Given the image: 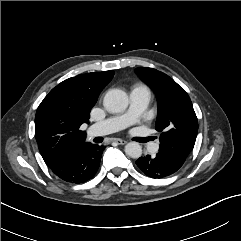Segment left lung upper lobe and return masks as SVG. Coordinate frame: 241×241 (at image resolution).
Returning a JSON list of instances; mask_svg holds the SVG:
<instances>
[{
	"instance_id": "obj_1",
	"label": "left lung upper lobe",
	"mask_w": 241,
	"mask_h": 241,
	"mask_svg": "<svg viewBox=\"0 0 241 241\" xmlns=\"http://www.w3.org/2000/svg\"><path fill=\"white\" fill-rule=\"evenodd\" d=\"M136 72L157 96L156 130L161 133L157 154L181 167L194 147L198 132L192 102L184 89L168 75L145 67L137 68Z\"/></svg>"
}]
</instances>
